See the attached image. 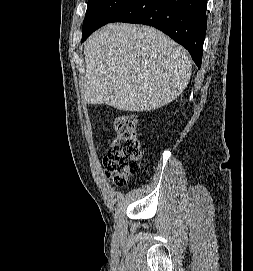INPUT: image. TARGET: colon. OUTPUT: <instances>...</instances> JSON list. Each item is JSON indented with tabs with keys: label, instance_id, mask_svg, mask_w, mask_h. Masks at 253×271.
Returning a JSON list of instances; mask_svg holds the SVG:
<instances>
[{
	"label": "colon",
	"instance_id": "1",
	"mask_svg": "<svg viewBox=\"0 0 253 271\" xmlns=\"http://www.w3.org/2000/svg\"><path fill=\"white\" fill-rule=\"evenodd\" d=\"M137 118L123 114L114 118V138L104 157L105 172L114 184L123 186L129 176L139 170L142 144L137 132Z\"/></svg>",
	"mask_w": 253,
	"mask_h": 271
}]
</instances>
